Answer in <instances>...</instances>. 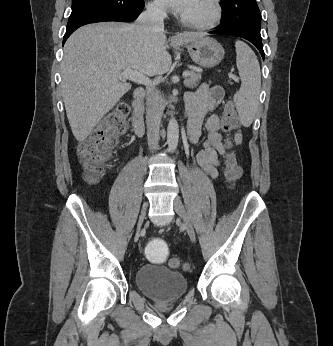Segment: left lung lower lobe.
I'll list each match as a JSON object with an SVG mask.
<instances>
[{
    "instance_id": "left-lung-lower-lobe-1",
    "label": "left lung lower lobe",
    "mask_w": 333,
    "mask_h": 346,
    "mask_svg": "<svg viewBox=\"0 0 333 346\" xmlns=\"http://www.w3.org/2000/svg\"><path fill=\"white\" fill-rule=\"evenodd\" d=\"M210 33L213 34H221V35H230V36H236L244 38L248 41H250L252 44L256 46V48L259 50L263 60H264V51H263V45L261 41V36H258L252 32H250L247 29H244L242 27L233 26V25H222L218 29L211 31Z\"/></svg>"
}]
</instances>
